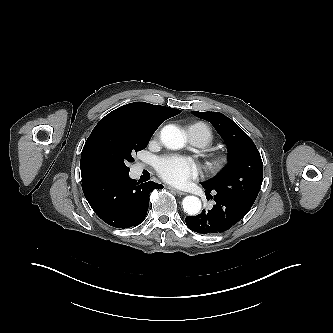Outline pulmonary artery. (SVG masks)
Wrapping results in <instances>:
<instances>
[{"instance_id": "e3ab8cb5", "label": "pulmonary artery", "mask_w": 333, "mask_h": 333, "mask_svg": "<svg viewBox=\"0 0 333 333\" xmlns=\"http://www.w3.org/2000/svg\"><path fill=\"white\" fill-rule=\"evenodd\" d=\"M187 135L190 143L197 147H204L205 140L200 134L199 130L195 126H189L187 129Z\"/></svg>"}]
</instances>
